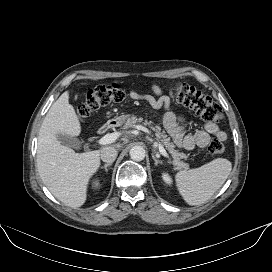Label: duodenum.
Wrapping results in <instances>:
<instances>
[{
	"mask_svg": "<svg viewBox=\"0 0 272 272\" xmlns=\"http://www.w3.org/2000/svg\"><path fill=\"white\" fill-rule=\"evenodd\" d=\"M114 126L113 122H107L99 128V133L103 134Z\"/></svg>",
	"mask_w": 272,
	"mask_h": 272,
	"instance_id": "1",
	"label": "duodenum"
}]
</instances>
